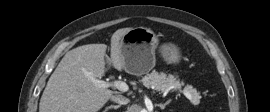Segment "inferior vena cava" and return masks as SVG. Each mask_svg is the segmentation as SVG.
I'll list each match as a JSON object with an SVG mask.
<instances>
[{
    "label": "inferior vena cava",
    "mask_w": 270,
    "mask_h": 112,
    "mask_svg": "<svg viewBox=\"0 0 270 112\" xmlns=\"http://www.w3.org/2000/svg\"><path fill=\"white\" fill-rule=\"evenodd\" d=\"M111 101L118 103L120 105H126L129 103V99L123 95H112Z\"/></svg>",
    "instance_id": "obj_1"
}]
</instances>
